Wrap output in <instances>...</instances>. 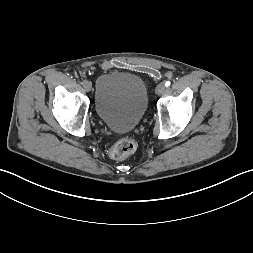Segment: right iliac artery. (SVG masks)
I'll return each mask as SVG.
<instances>
[{
    "mask_svg": "<svg viewBox=\"0 0 253 253\" xmlns=\"http://www.w3.org/2000/svg\"><path fill=\"white\" fill-rule=\"evenodd\" d=\"M85 82H86V81H85V80H83V81H81V82H80V84H81V85H84V83H85Z\"/></svg>",
    "mask_w": 253,
    "mask_h": 253,
    "instance_id": "right-iliac-artery-1",
    "label": "right iliac artery"
}]
</instances>
